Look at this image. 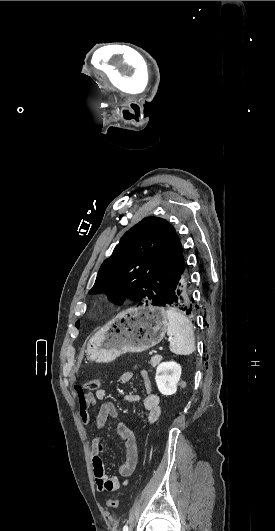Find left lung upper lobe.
Instances as JSON below:
<instances>
[{
  "label": "left lung upper lobe",
  "mask_w": 275,
  "mask_h": 531,
  "mask_svg": "<svg viewBox=\"0 0 275 531\" xmlns=\"http://www.w3.org/2000/svg\"><path fill=\"white\" fill-rule=\"evenodd\" d=\"M186 267L175 228L165 219L146 217L120 239L101 265L89 294L107 293L116 304L128 299L163 306Z\"/></svg>",
  "instance_id": "obj_1"
}]
</instances>
